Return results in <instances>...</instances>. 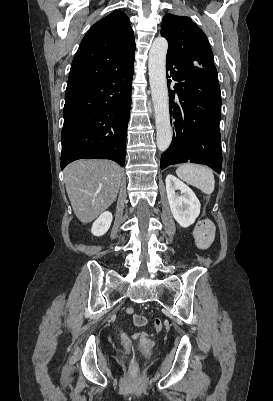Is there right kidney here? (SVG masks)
<instances>
[{"instance_id":"ca27d5eb","label":"right kidney","mask_w":273,"mask_h":401,"mask_svg":"<svg viewBox=\"0 0 273 401\" xmlns=\"http://www.w3.org/2000/svg\"><path fill=\"white\" fill-rule=\"evenodd\" d=\"M112 219V213H109V211L102 213V215H100V217H98V219H96L92 225V235H95V237H101V235H105L112 223Z\"/></svg>"}]
</instances>
